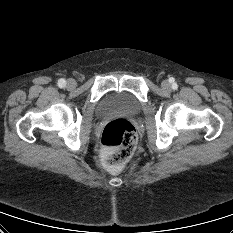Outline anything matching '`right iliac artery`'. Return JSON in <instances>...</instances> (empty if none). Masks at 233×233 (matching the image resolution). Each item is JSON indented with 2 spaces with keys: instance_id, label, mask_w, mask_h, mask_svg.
Instances as JSON below:
<instances>
[{
  "instance_id": "obj_1",
  "label": "right iliac artery",
  "mask_w": 233,
  "mask_h": 233,
  "mask_svg": "<svg viewBox=\"0 0 233 233\" xmlns=\"http://www.w3.org/2000/svg\"><path fill=\"white\" fill-rule=\"evenodd\" d=\"M58 86H59L60 88L65 87V86H66V81H65V79H63V78L59 79V80H58Z\"/></svg>"
}]
</instances>
